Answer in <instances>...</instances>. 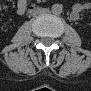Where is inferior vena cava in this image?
Instances as JSON below:
<instances>
[{
	"label": "inferior vena cava",
	"instance_id": "inferior-vena-cava-1",
	"mask_svg": "<svg viewBox=\"0 0 91 91\" xmlns=\"http://www.w3.org/2000/svg\"><path fill=\"white\" fill-rule=\"evenodd\" d=\"M47 8H45V7H42V8H35V9H33V11H32V13H33V15H41V14H45V13H47Z\"/></svg>",
	"mask_w": 91,
	"mask_h": 91
}]
</instances>
